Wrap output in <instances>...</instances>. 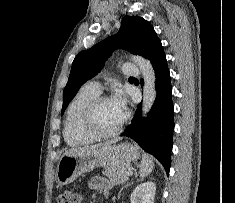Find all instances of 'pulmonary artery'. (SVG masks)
Masks as SVG:
<instances>
[{"label":"pulmonary artery","instance_id":"pulmonary-artery-1","mask_svg":"<svg viewBox=\"0 0 235 203\" xmlns=\"http://www.w3.org/2000/svg\"><path fill=\"white\" fill-rule=\"evenodd\" d=\"M122 70H123V73L127 76H133V75L138 74L137 68L133 64H130V63L124 64L122 67ZM89 85L93 87L94 89H96L97 91L99 92L101 91L102 87L98 81H91Z\"/></svg>","mask_w":235,"mask_h":203}]
</instances>
